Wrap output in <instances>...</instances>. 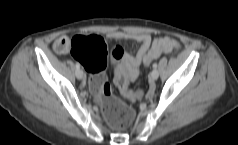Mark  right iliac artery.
<instances>
[{
  "label": "right iliac artery",
  "instance_id": "1",
  "mask_svg": "<svg viewBox=\"0 0 238 145\" xmlns=\"http://www.w3.org/2000/svg\"><path fill=\"white\" fill-rule=\"evenodd\" d=\"M76 69H80V64L79 63H76Z\"/></svg>",
  "mask_w": 238,
  "mask_h": 145
}]
</instances>
